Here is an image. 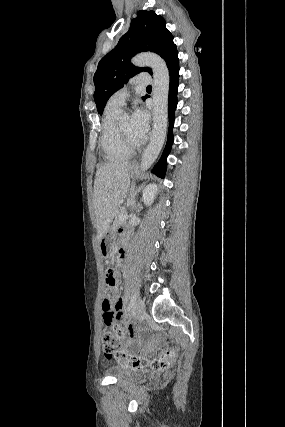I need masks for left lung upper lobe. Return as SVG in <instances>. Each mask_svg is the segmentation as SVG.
<instances>
[{
    "mask_svg": "<svg viewBox=\"0 0 285 427\" xmlns=\"http://www.w3.org/2000/svg\"><path fill=\"white\" fill-rule=\"evenodd\" d=\"M142 51L157 53L167 65L178 55L173 35L166 29L164 18L154 11H139L131 21L128 32L99 61L94 74V100L99 114L103 113L110 96L122 88L129 78L142 71L152 74L149 67L138 68L130 63L131 57ZM146 98L143 97L144 100Z\"/></svg>",
    "mask_w": 285,
    "mask_h": 427,
    "instance_id": "1",
    "label": "left lung upper lobe"
}]
</instances>
